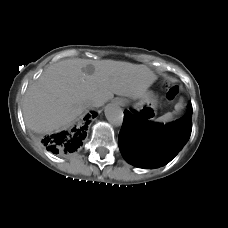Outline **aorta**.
I'll return each mask as SVG.
<instances>
[{"label":"aorta","instance_id":"762f6f07","mask_svg":"<svg viewBox=\"0 0 228 228\" xmlns=\"http://www.w3.org/2000/svg\"><path fill=\"white\" fill-rule=\"evenodd\" d=\"M105 116L109 123L114 126H121L123 123L124 114L120 106L117 104H108L105 107Z\"/></svg>","mask_w":228,"mask_h":228}]
</instances>
